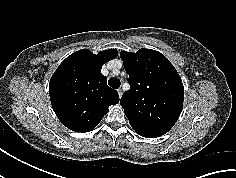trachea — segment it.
Segmentation results:
<instances>
[{
	"label": "trachea",
	"instance_id": "obj_1",
	"mask_svg": "<svg viewBox=\"0 0 236 178\" xmlns=\"http://www.w3.org/2000/svg\"><path fill=\"white\" fill-rule=\"evenodd\" d=\"M109 86H111L114 89H118L121 85V82L117 78H110L108 81Z\"/></svg>",
	"mask_w": 236,
	"mask_h": 178
}]
</instances>
